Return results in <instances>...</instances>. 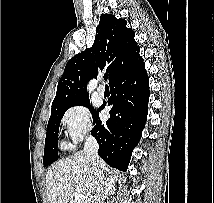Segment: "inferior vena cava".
Returning <instances> with one entry per match:
<instances>
[{
    "label": "inferior vena cava",
    "mask_w": 214,
    "mask_h": 203,
    "mask_svg": "<svg viewBox=\"0 0 214 203\" xmlns=\"http://www.w3.org/2000/svg\"><path fill=\"white\" fill-rule=\"evenodd\" d=\"M99 145L93 136H88L84 145V155L88 164L92 167L91 180L93 181V195L87 203H101L104 187V162L98 155Z\"/></svg>",
    "instance_id": "inferior-vena-cava-1"
}]
</instances>
